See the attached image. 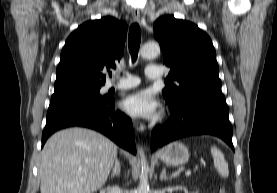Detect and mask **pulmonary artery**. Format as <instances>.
<instances>
[{
  "label": "pulmonary artery",
  "mask_w": 277,
  "mask_h": 193,
  "mask_svg": "<svg viewBox=\"0 0 277 193\" xmlns=\"http://www.w3.org/2000/svg\"><path fill=\"white\" fill-rule=\"evenodd\" d=\"M145 74L150 79H158L163 75L162 70L155 66L149 65L145 69ZM140 80L137 76L127 74L126 76L120 78L117 82H108L106 84L107 89L124 90L136 87Z\"/></svg>",
  "instance_id": "e3ab8cb5"
}]
</instances>
